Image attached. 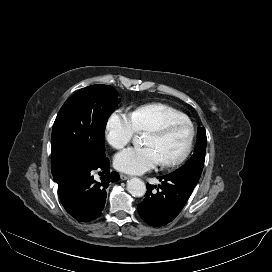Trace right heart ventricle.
Here are the masks:
<instances>
[{
    "label": "right heart ventricle",
    "instance_id": "right-heart-ventricle-1",
    "mask_svg": "<svg viewBox=\"0 0 272 272\" xmlns=\"http://www.w3.org/2000/svg\"><path fill=\"white\" fill-rule=\"evenodd\" d=\"M132 115L140 133H147L167 122L188 121L184 113L163 103L141 105L133 110Z\"/></svg>",
    "mask_w": 272,
    "mask_h": 272
}]
</instances>
